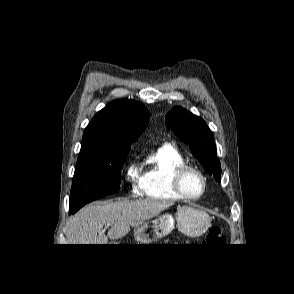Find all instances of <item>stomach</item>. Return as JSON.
Instances as JSON below:
<instances>
[{
  "mask_svg": "<svg viewBox=\"0 0 294 294\" xmlns=\"http://www.w3.org/2000/svg\"><path fill=\"white\" fill-rule=\"evenodd\" d=\"M210 225L211 218L206 212L190 206H182L178 208L175 218L165 213L135 227L134 238L137 244H151L168 236L175 226L184 235L195 238L203 235Z\"/></svg>",
  "mask_w": 294,
  "mask_h": 294,
  "instance_id": "stomach-1",
  "label": "stomach"
}]
</instances>
